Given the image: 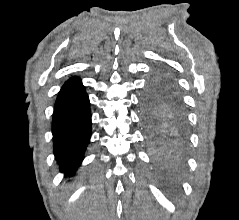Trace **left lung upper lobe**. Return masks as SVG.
<instances>
[{
    "label": "left lung upper lobe",
    "instance_id": "1",
    "mask_svg": "<svg viewBox=\"0 0 239 220\" xmlns=\"http://www.w3.org/2000/svg\"><path fill=\"white\" fill-rule=\"evenodd\" d=\"M143 109L144 122L150 130L160 128L173 112H183L173 75L165 67L155 70L143 99Z\"/></svg>",
    "mask_w": 239,
    "mask_h": 220
}]
</instances>
